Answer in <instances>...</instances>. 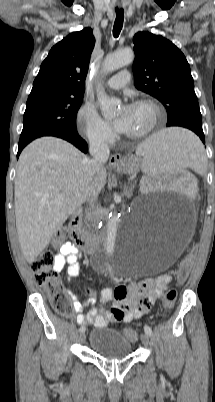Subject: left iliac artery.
Returning <instances> with one entry per match:
<instances>
[{
	"label": "left iliac artery",
	"mask_w": 215,
	"mask_h": 402,
	"mask_svg": "<svg viewBox=\"0 0 215 402\" xmlns=\"http://www.w3.org/2000/svg\"><path fill=\"white\" fill-rule=\"evenodd\" d=\"M144 331H145V333H147L149 336L152 335V329H151L150 326L145 325V326H144Z\"/></svg>",
	"instance_id": "obj_1"
}]
</instances>
